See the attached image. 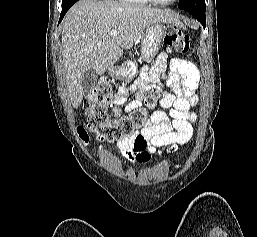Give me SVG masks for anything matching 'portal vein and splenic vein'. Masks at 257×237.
I'll use <instances>...</instances> for the list:
<instances>
[{"instance_id": "18ae733b", "label": "portal vein and splenic vein", "mask_w": 257, "mask_h": 237, "mask_svg": "<svg viewBox=\"0 0 257 237\" xmlns=\"http://www.w3.org/2000/svg\"><path fill=\"white\" fill-rule=\"evenodd\" d=\"M110 35H111L112 37H116V36L118 35V30H116V29L112 30V31L110 32Z\"/></svg>"}]
</instances>
